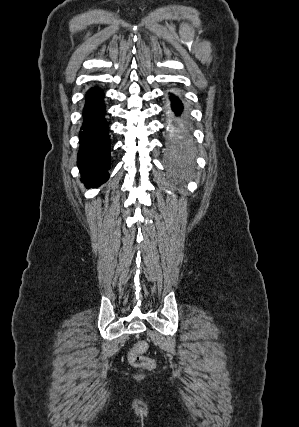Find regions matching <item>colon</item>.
<instances>
[{"label":"colon","mask_w":299,"mask_h":427,"mask_svg":"<svg viewBox=\"0 0 299 427\" xmlns=\"http://www.w3.org/2000/svg\"><path fill=\"white\" fill-rule=\"evenodd\" d=\"M147 349V342L140 341L136 343L128 353V362L133 367L143 368L147 370L153 369L155 367V361L144 355Z\"/></svg>","instance_id":"obj_1"}]
</instances>
